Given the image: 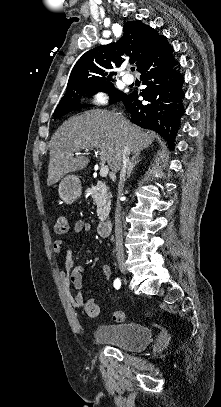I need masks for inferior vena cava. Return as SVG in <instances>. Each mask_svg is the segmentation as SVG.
Listing matches in <instances>:
<instances>
[{
  "label": "inferior vena cava",
  "instance_id": "1",
  "mask_svg": "<svg viewBox=\"0 0 221 407\" xmlns=\"http://www.w3.org/2000/svg\"><path fill=\"white\" fill-rule=\"evenodd\" d=\"M130 149L128 145L124 147L121 160L119 163L120 171V181H119V196L122 195L123 182L126 177V170L129 162ZM115 247H116V258L118 262H124V250H123V232H122V222H121V205L117 202V207L115 211Z\"/></svg>",
  "mask_w": 221,
  "mask_h": 407
}]
</instances>
